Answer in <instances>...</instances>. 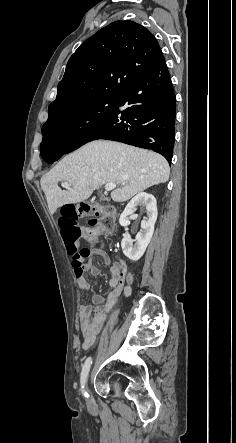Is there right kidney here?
Returning a JSON list of instances; mask_svg holds the SVG:
<instances>
[{
  "label": "right kidney",
  "instance_id": "obj_1",
  "mask_svg": "<svg viewBox=\"0 0 236 443\" xmlns=\"http://www.w3.org/2000/svg\"><path fill=\"white\" fill-rule=\"evenodd\" d=\"M137 206L146 208L147 217L141 221V230L137 233L134 240L131 239L130 235H127L121 241L124 255L132 261H137L143 256L153 236L154 225L158 215L155 197L152 194L141 192L132 198L125 207L119 218L121 226L125 227L130 224L128 216H134ZM133 242L135 243L133 244Z\"/></svg>",
  "mask_w": 236,
  "mask_h": 443
}]
</instances>
